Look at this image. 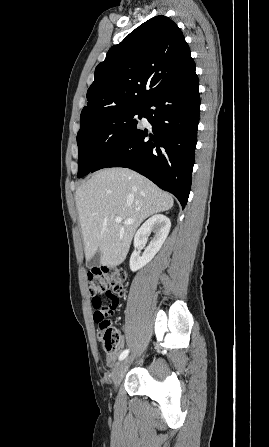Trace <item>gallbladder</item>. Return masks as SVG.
<instances>
[{"label":"gallbladder","instance_id":"obj_1","mask_svg":"<svg viewBox=\"0 0 269 447\" xmlns=\"http://www.w3.org/2000/svg\"><path fill=\"white\" fill-rule=\"evenodd\" d=\"M101 251H96L90 261H87V267H98L100 265Z\"/></svg>","mask_w":269,"mask_h":447}]
</instances>
